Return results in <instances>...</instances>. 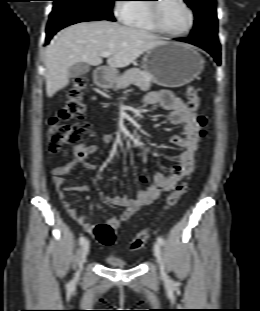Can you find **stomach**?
I'll use <instances>...</instances> for the list:
<instances>
[{
	"label": "stomach",
	"instance_id": "0dacf381",
	"mask_svg": "<svg viewBox=\"0 0 260 311\" xmlns=\"http://www.w3.org/2000/svg\"><path fill=\"white\" fill-rule=\"evenodd\" d=\"M142 68L153 82L164 87H180L196 79L204 69V59L188 45L166 42L148 50ZM118 77L113 70L103 71L96 83L109 88Z\"/></svg>",
	"mask_w": 260,
	"mask_h": 311
}]
</instances>
